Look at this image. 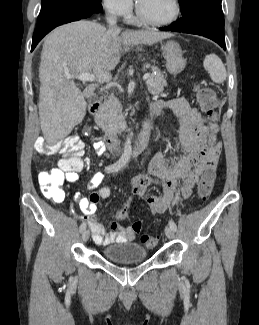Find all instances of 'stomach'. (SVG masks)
Returning a JSON list of instances; mask_svg holds the SVG:
<instances>
[{"instance_id": "obj_1", "label": "stomach", "mask_w": 259, "mask_h": 325, "mask_svg": "<svg viewBox=\"0 0 259 325\" xmlns=\"http://www.w3.org/2000/svg\"><path fill=\"white\" fill-rule=\"evenodd\" d=\"M163 56L166 60V68L169 73L177 75L186 66L180 45L175 41H167L162 46Z\"/></svg>"}]
</instances>
